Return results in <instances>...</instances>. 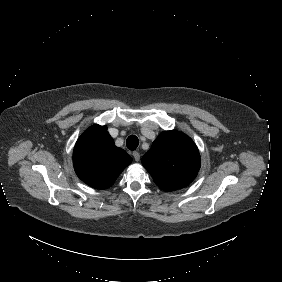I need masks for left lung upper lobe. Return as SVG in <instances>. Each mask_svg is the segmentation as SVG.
Returning a JSON list of instances; mask_svg holds the SVG:
<instances>
[{
  "instance_id": "left-lung-upper-lobe-1",
  "label": "left lung upper lobe",
  "mask_w": 282,
  "mask_h": 282,
  "mask_svg": "<svg viewBox=\"0 0 282 282\" xmlns=\"http://www.w3.org/2000/svg\"><path fill=\"white\" fill-rule=\"evenodd\" d=\"M142 164L156 185L171 192L189 185L200 169L197 146L187 135L173 130L158 135Z\"/></svg>"
}]
</instances>
